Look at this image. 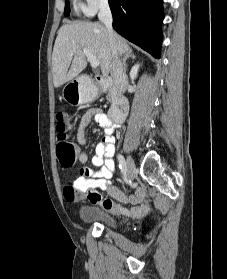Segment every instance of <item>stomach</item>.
<instances>
[{"mask_svg":"<svg viewBox=\"0 0 227 279\" xmlns=\"http://www.w3.org/2000/svg\"><path fill=\"white\" fill-rule=\"evenodd\" d=\"M62 96L69 104L80 105L96 97V88L91 83L73 79L63 88Z\"/></svg>","mask_w":227,"mask_h":279,"instance_id":"1","label":"stomach"}]
</instances>
